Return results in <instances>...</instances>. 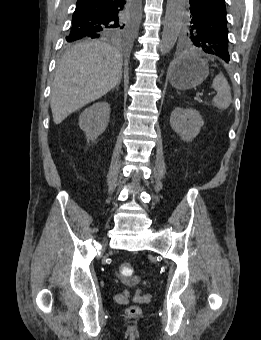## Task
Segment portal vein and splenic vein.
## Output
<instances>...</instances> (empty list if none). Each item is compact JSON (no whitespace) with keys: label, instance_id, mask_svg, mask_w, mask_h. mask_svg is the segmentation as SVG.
Masks as SVG:
<instances>
[{"label":"portal vein and splenic vein","instance_id":"portal-vein-and-splenic-vein-1","mask_svg":"<svg viewBox=\"0 0 261 340\" xmlns=\"http://www.w3.org/2000/svg\"><path fill=\"white\" fill-rule=\"evenodd\" d=\"M209 95H215V92H211V93H209Z\"/></svg>","mask_w":261,"mask_h":340}]
</instances>
